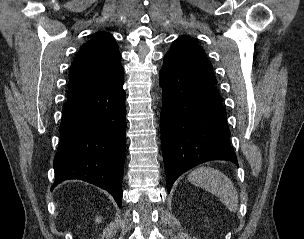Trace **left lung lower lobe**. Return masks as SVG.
<instances>
[{"label":"left lung lower lobe","instance_id":"obj_1","mask_svg":"<svg viewBox=\"0 0 304 239\" xmlns=\"http://www.w3.org/2000/svg\"><path fill=\"white\" fill-rule=\"evenodd\" d=\"M159 74L163 88L161 145L168 192L182 173L203 162L226 160L237 165L216 84L189 73L167 56Z\"/></svg>","mask_w":304,"mask_h":239}]
</instances>
